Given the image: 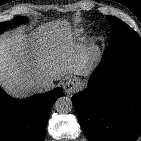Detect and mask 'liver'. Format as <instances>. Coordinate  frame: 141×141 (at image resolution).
Listing matches in <instances>:
<instances>
[{"mask_svg": "<svg viewBox=\"0 0 141 141\" xmlns=\"http://www.w3.org/2000/svg\"><path fill=\"white\" fill-rule=\"evenodd\" d=\"M66 21L41 25L33 34L20 31L0 37V85L17 97L34 94L44 78L60 80L68 74L87 76L100 57L96 47L65 49Z\"/></svg>", "mask_w": 141, "mask_h": 141, "instance_id": "obj_1", "label": "liver"}]
</instances>
